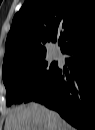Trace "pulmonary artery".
<instances>
[{
	"label": "pulmonary artery",
	"mask_w": 95,
	"mask_h": 130,
	"mask_svg": "<svg viewBox=\"0 0 95 130\" xmlns=\"http://www.w3.org/2000/svg\"><path fill=\"white\" fill-rule=\"evenodd\" d=\"M53 55L54 56H58V51L57 50H53Z\"/></svg>",
	"instance_id": "1"
}]
</instances>
